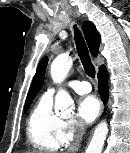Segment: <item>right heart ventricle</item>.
Returning a JSON list of instances; mask_svg holds the SVG:
<instances>
[{
  "label": "right heart ventricle",
  "instance_id": "1",
  "mask_svg": "<svg viewBox=\"0 0 130 153\" xmlns=\"http://www.w3.org/2000/svg\"><path fill=\"white\" fill-rule=\"evenodd\" d=\"M63 120L52 109V95L44 93L33 106L26 124L30 144L41 152H55L62 142L60 132Z\"/></svg>",
  "mask_w": 130,
  "mask_h": 153
}]
</instances>
